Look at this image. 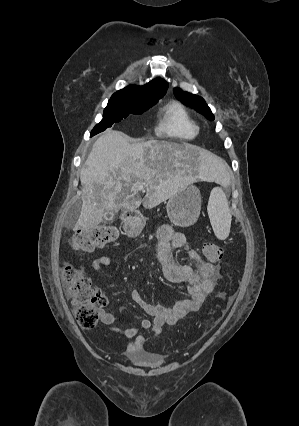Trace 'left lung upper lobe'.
<instances>
[{"label": "left lung upper lobe", "instance_id": "left-lung-upper-lobe-1", "mask_svg": "<svg viewBox=\"0 0 299 426\" xmlns=\"http://www.w3.org/2000/svg\"><path fill=\"white\" fill-rule=\"evenodd\" d=\"M174 94L184 104L194 107L198 112L202 113L208 119H214V115L202 97L183 92L182 90L176 88L174 89Z\"/></svg>", "mask_w": 299, "mask_h": 426}]
</instances>
